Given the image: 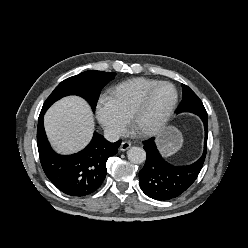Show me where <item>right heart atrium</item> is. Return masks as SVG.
I'll return each mask as SVG.
<instances>
[{
    "mask_svg": "<svg viewBox=\"0 0 248 248\" xmlns=\"http://www.w3.org/2000/svg\"><path fill=\"white\" fill-rule=\"evenodd\" d=\"M96 118L103 130L112 137L122 135L127 128L128 121L106 94L101 95L97 101Z\"/></svg>",
    "mask_w": 248,
    "mask_h": 248,
    "instance_id": "1",
    "label": "right heart atrium"
}]
</instances>
